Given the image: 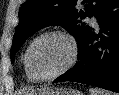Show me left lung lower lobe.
I'll use <instances>...</instances> for the list:
<instances>
[{
  "mask_svg": "<svg viewBox=\"0 0 119 95\" xmlns=\"http://www.w3.org/2000/svg\"><path fill=\"white\" fill-rule=\"evenodd\" d=\"M100 33L91 28L78 46V62L53 83L73 81L119 93V0L96 13Z\"/></svg>",
  "mask_w": 119,
  "mask_h": 95,
  "instance_id": "0a47b994",
  "label": "left lung lower lobe"
}]
</instances>
